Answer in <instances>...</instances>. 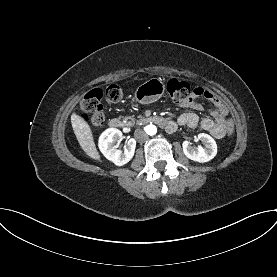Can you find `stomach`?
I'll list each match as a JSON object with an SVG mask.
<instances>
[{
  "label": "stomach",
  "mask_w": 277,
  "mask_h": 277,
  "mask_svg": "<svg viewBox=\"0 0 277 277\" xmlns=\"http://www.w3.org/2000/svg\"><path fill=\"white\" fill-rule=\"evenodd\" d=\"M165 91V84L160 78H151L136 88L134 98L141 104H150L159 100Z\"/></svg>",
  "instance_id": "obj_1"
}]
</instances>
